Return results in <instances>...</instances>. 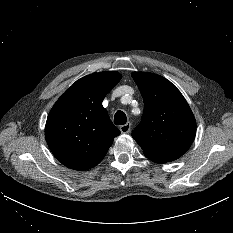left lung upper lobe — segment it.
I'll list each match as a JSON object with an SVG mask.
<instances>
[{"label": "left lung upper lobe", "mask_w": 233, "mask_h": 233, "mask_svg": "<svg viewBox=\"0 0 233 233\" xmlns=\"http://www.w3.org/2000/svg\"><path fill=\"white\" fill-rule=\"evenodd\" d=\"M131 75L144 100L143 116L132 137L151 161L176 160L189 149L196 133L188 103L176 86L162 76L145 72Z\"/></svg>", "instance_id": "left-lung-upper-lobe-1"}]
</instances>
